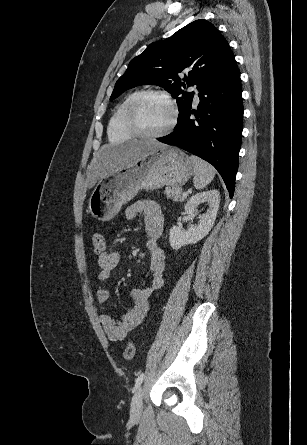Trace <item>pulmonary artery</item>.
Here are the masks:
<instances>
[{
  "instance_id": "1",
  "label": "pulmonary artery",
  "mask_w": 307,
  "mask_h": 445,
  "mask_svg": "<svg viewBox=\"0 0 307 445\" xmlns=\"http://www.w3.org/2000/svg\"><path fill=\"white\" fill-rule=\"evenodd\" d=\"M194 101L198 102V94H197V92H195Z\"/></svg>"
}]
</instances>
